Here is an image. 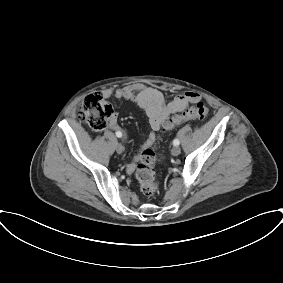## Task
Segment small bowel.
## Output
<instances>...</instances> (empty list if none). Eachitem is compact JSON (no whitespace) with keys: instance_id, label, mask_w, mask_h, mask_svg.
I'll use <instances>...</instances> for the list:
<instances>
[{"instance_id":"small-bowel-1","label":"small bowel","mask_w":283,"mask_h":283,"mask_svg":"<svg viewBox=\"0 0 283 283\" xmlns=\"http://www.w3.org/2000/svg\"><path fill=\"white\" fill-rule=\"evenodd\" d=\"M105 98L114 97L116 99H125L136 103L142 108L148 119L152 132L141 146V150L150 147L155 141L154 131H157L164 120L172 113L184 110L189 104L198 102L201 97L196 92H185L175 96L171 101L167 102L162 92L153 87L143 85H131L121 89H108L103 92ZM108 128L112 131H119L121 128L118 124V115L113 112ZM139 156H136L134 161L128 164L127 172L133 173L136 169V162Z\"/></svg>"}]
</instances>
